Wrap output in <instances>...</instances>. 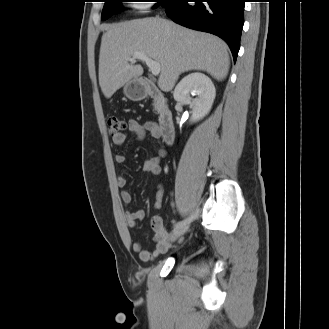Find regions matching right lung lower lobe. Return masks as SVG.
I'll return each mask as SVG.
<instances>
[{
  "label": "right lung lower lobe",
  "instance_id": "obj_1",
  "mask_svg": "<svg viewBox=\"0 0 329 329\" xmlns=\"http://www.w3.org/2000/svg\"><path fill=\"white\" fill-rule=\"evenodd\" d=\"M244 3L245 0H169L163 7L174 22L222 38L236 61L244 24Z\"/></svg>",
  "mask_w": 329,
  "mask_h": 329
}]
</instances>
